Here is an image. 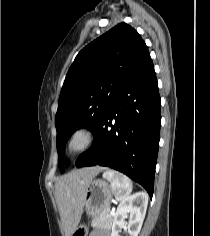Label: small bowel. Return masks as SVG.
<instances>
[{
  "label": "small bowel",
  "mask_w": 210,
  "mask_h": 236,
  "mask_svg": "<svg viewBox=\"0 0 210 236\" xmlns=\"http://www.w3.org/2000/svg\"><path fill=\"white\" fill-rule=\"evenodd\" d=\"M91 236H109V235L104 232H94L92 233Z\"/></svg>",
  "instance_id": "obj_1"
}]
</instances>
